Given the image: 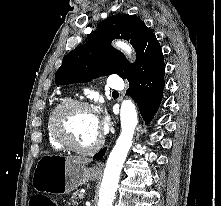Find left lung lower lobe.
I'll return each mask as SVG.
<instances>
[{
  "label": "left lung lower lobe",
  "mask_w": 221,
  "mask_h": 206,
  "mask_svg": "<svg viewBox=\"0 0 221 206\" xmlns=\"http://www.w3.org/2000/svg\"><path fill=\"white\" fill-rule=\"evenodd\" d=\"M165 69L159 73L150 75L130 84L127 94L137 103L140 113L146 123H149L154 113L157 111L164 89ZM106 148L94 155V158L102 159Z\"/></svg>",
  "instance_id": "1"
}]
</instances>
